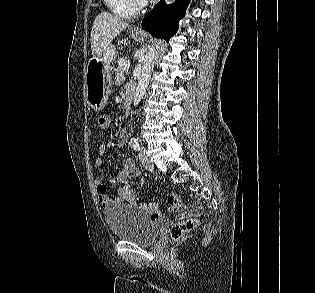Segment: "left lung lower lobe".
I'll return each mask as SVG.
<instances>
[{
  "label": "left lung lower lobe",
  "mask_w": 315,
  "mask_h": 293,
  "mask_svg": "<svg viewBox=\"0 0 315 293\" xmlns=\"http://www.w3.org/2000/svg\"><path fill=\"white\" fill-rule=\"evenodd\" d=\"M190 0H176L167 5L164 0L143 19L142 27L153 36L163 38L167 42L177 32L179 20L184 17Z\"/></svg>",
  "instance_id": "0a47b994"
}]
</instances>
